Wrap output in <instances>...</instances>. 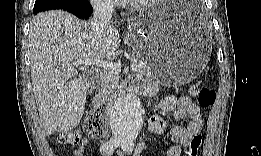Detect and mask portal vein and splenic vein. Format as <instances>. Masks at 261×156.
I'll use <instances>...</instances> for the list:
<instances>
[{
	"mask_svg": "<svg viewBox=\"0 0 261 156\" xmlns=\"http://www.w3.org/2000/svg\"><path fill=\"white\" fill-rule=\"evenodd\" d=\"M74 65H86V66H97L101 67L104 70H108L112 73L119 74L121 72V64L119 63H113V62H107L100 59H93V58H81L74 62ZM131 70L137 71L138 65L137 64H131Z\"/></svg>",
	"mask_w": 261,
	"mask_h": 156,
	"instance_id": "portal-vein-and-splenic-vein-1",
	"label": "portal vein and splenic vein"
}]
</instances>
